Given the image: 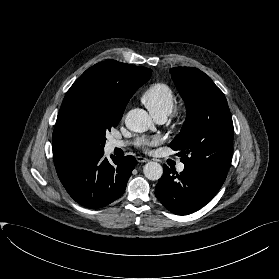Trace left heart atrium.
Segmentation results:
<instances>
[{
	"label": "left heart atrium",
	"mask_w": 279,
	"mask_h": 279,
	"mask_svg": "<svg viewBox=\"0 0 279 279\" xmlns=\"http://www.w3.org/2000/svg\"><path fill=\"white\" fill-rule=\"evenodd\" d=\"M157 143V139L155 138H140L137 141V144L142 149H147L150 146H153Z\"/></svg>",
	"instance_id": "obj_1"
}]
</instances>
